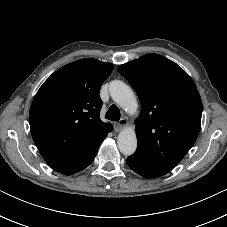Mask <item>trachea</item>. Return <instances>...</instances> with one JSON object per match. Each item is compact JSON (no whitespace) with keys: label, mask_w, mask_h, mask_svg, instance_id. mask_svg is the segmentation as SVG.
Instances as JSON below:
<instances>
[{"label":"trachea","mask_w":227,"mask_h":227,"mask_svg":"<svg viewBox=\"0 0 227 227\" xmlns=\"http://www.w3.org/2000/svg\"><path fill=\"white\" fill-rule=\"evenodd\" d=\"M120 110L116 105H111L106 113V119L112 121H119L120 119Z\"/></svg>","instance_id":"1"}]
</instances>
